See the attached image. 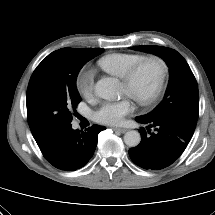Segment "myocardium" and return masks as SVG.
<instances>
[{
  "instance_id": "f54148a6",
  "label": "myocardium",
  "mask_w": 215,
  "mask_h": 215,
  "mask_svg": "<svg viewBox=\"0 0 215 215\" xmlns=\"http://www.w3.org/2000/svg\"><path fill=\"white\" fill-rule=\"evenodd\" d=\"M149 62H154L158 65L159 67V77H158V81L157 84L154 88V90L152 91V93L150 95H148L147 97H138L135 96L131 93H129V95L140 105L142 106H150L152 104H154L159 97L161 96L164 88H165V84L167 81V77H168V72H169V68H168V64L166 62V60L159 56V55H147L142 57L139 61H137L124 75V77L122 78V82L123 84H125L127 87H131L135 78L137 77L139 71L141 70V68Z\"/></svg>"
}]
</instances>
